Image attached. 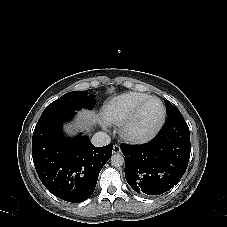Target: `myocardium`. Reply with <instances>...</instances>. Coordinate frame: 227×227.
<instances>
[{"mask_svg":"<svg viewBox=\"0 0 227 227\" xmlns=\"http://www.w3.org/2000/svg\"><path fill=\"white\" fill-rule=\"evenodd\" d=\"M152 101H157L160 103L162 107V115L158 122L151 129L146 132H137L135 129L136 122L138 121L145 107ZM166 115L167 112L164 102L157 97H149L141 105H139V107L126 120L122 122L120 126V134L124 140L133 144L148 142L160 131L165 123Z\"/></svg>","mask_w":227,"mask_h":227,"instance_id":"myocardium-1","label":"myocardium"}]
</instances>
